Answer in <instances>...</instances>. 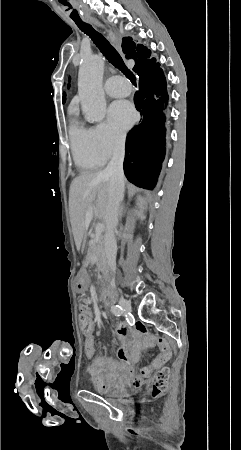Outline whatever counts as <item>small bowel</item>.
<instances>
[{"instance_id":"c3829d8e","label":"small bowel","mask_w":241,"mask_h":450,"mask_svg":"<svg viewBox=\"0 0 241 450\" xmlns=\"http://www.w3.org/2000/svg\"><path fill=\"white\" fill-rule=\"evenodd\" d=\"M77 287L79 291H83L86 286L81 282ZM81 311V317H92V312L87 306H82ZM116 332L120 342L117 349V360L106 356L94 357L96 350L93 333H83L84 352L90 359L87 371L94 386L99 390H106L121 384L137 389L150 374L167 362L171 352L165 340L157 339L156 343L161 353L153 362L142 367L139 374H136L135 364L141 351L153 345L154 340L146 337L148 330L142 323H137L134 328L119 324ZM87 335L91 336L90 340L86 339Z\"/></svg>"}]
</instances>
